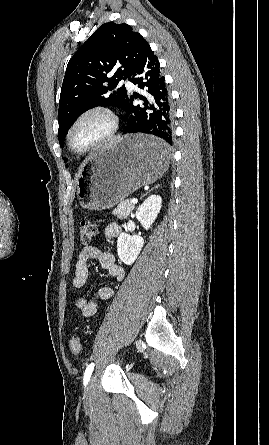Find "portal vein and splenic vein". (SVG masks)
I'll list each match as a JSON object with an SVG mask.
<instances>
[{
	"mask_svg": "<svg viewBox=\"0 0 269 445\" xmlns=\"http://www.w3.org/2000/svg\"><path fill=\"white\" fill-rule=\"evenodd\" d=\"M131 202H132L133 204H135V203L138 202V200H137V199H133Z\"/></svg>",
	"mask_w": 269,
	"mask_h": 445,
	"instance_id": "1",
	"label": "portal vein and splenic vein"
}]
</instances>
